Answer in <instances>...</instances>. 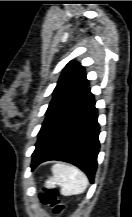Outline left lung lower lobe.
Here are the masks:
<instances>
[{
  "label": "left lung lower lobe",
  "instance_id": "obj_1",
  "mask_svg": "<svg viewBox=\"0 0 132 217\" xmlns=\"http://www.w3.org/2000/svg\"><path fill=\"white\" fill-rule=\"evenodd\" d=\"M99 124L94 96L88 88L67 106L38 139L31 168L48 160L76 165L93 182L99 152Z\"/></svg>",
  "mask_w": 132,
  "mask_h": 217
}]
</instances>
